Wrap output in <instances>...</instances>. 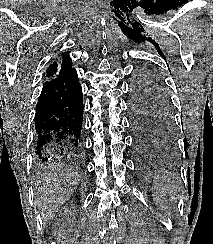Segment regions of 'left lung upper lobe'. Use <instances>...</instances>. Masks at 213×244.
<instances>
[{
	"label": "left lung upper lobe",
	"mask_w": 213,
	"mask_h": 244,
	"mask_svg": "<svg viewBox=\"0 0 213 244\" xmlns=\"http://www.w3.org/2000/svg\"><path fill=\"white\" fill-rule=\"evenodd\" d=\"M131 113L149 122L163 140L174 134L172 102L161 75L150 67L138 69L131 87Z\"/></svg>",
	"instance_id": "left-lung-upper-lobe-1"
}]
</instances>
